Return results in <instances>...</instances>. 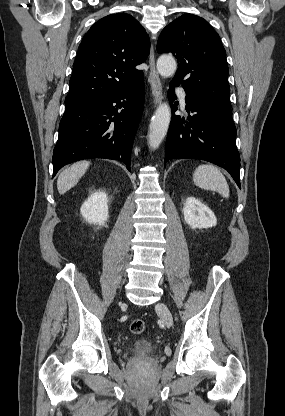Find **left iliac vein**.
<instances>
[{"label": "left iliac vein", "mask_w": 285, "mask_h": 416, "mask_svg": "<svg viewBox=\"0 0 285 416\" xmlns=\"http://www.w3.org/2000/svg\"><path fill=\"white\" fill-rule=\"evenodd\" d=\"M156 310L158 311L159 315L162 317L165 325L168 328L171 327L172 323H173V316H172L168 306L163 302H159L156 305Z\"/></svg>", "instance_id": "4c4485c4"}]
</instances>
